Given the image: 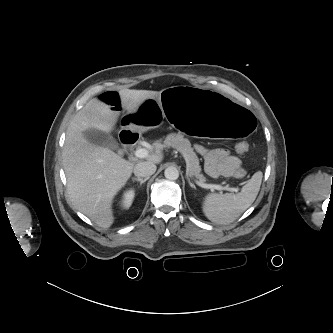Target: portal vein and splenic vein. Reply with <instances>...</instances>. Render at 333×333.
I'll use <instances>...</instances> for the list:
<instances>
[{
    "label": "portal vein and splenic vein",
    "instance_id": "18ae733b",
    "mask_svg": "<svg viewBox=\"0 0 333 333\" xmlns=\"http://www.w3.org/2000/svg\"><path fill=\"white\" fill-rule=\"evenodd\" d=\"M135 156L138 158H145L148 156V150H146L144 148L137 149L135 151ZM197 184L202 188L211 189V190H219V191L226 190V191L236 192V193L239 191L238 188H231L228 186H221L218 184H207V183H203V182H199V181H197Z\"/></svg>",
    "mask_w": 333,
    "mask_h": 333
}]
</instances>
